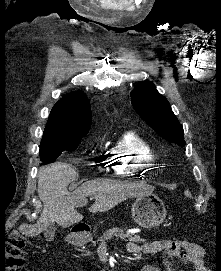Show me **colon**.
Masks as SVG:
<instances>
[{
    "instance_id": "obj_1",
    "label": "colon",
    "mask_w": 221,
    "mask_h": 271,
    "mask_svg": "<svg viewBox=\"0 0 221 271\" xmlns=\"http://www.w3.org/2000/svg\"><path fill=\"white\" fill-rule=\"evenodd\" d=\"M47 237H50L48 234ZM27 242L21 237L12 238L6 249V255L0 259L1 271H25L24 262L28 256L25 250Z\"/></svg>"
}]
</instances>
